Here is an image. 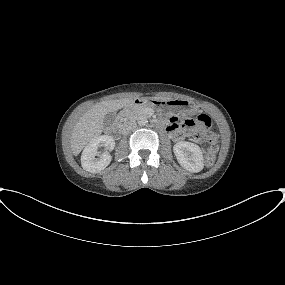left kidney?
<instances>
[{"mask_svg": "<svg viewBox=\"0 0 285 285\" xmlns=\"http://www.w3.org/2000/svg\"><path fill=\"white\" fill-rule=\"evenodd\" d=\"M178 163L186 170L197 173L203 167V154L200 147L191 142H179L173 146Z\"/></svg>", "mask_w": 285, "mask_h": 285, "instance_id": "5707ae66", "label": "left kidney"}]
</instances>
